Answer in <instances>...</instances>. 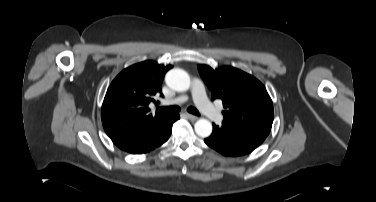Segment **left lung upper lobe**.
I'll return each mask as SVG.
<instances>
[{
    "label": "left lung upper lobe",
    "mask_w": 376,
    "mask_h": 202,
    "mask_svg": "<svg viewBox=\"0 0 376 202\" xmlns=\"http://www.w3.org/2000/svg\"><path fill=\"white\" fill-rule=\"evenodd\" d=\"M199 73L211 90L212 99L223 102V122L267 137L274 111L263 84L253 76L230 66L213 70L198 66Z\"/></svg>",
    "instance_id": "5c2ea615"
}]
</instances>
